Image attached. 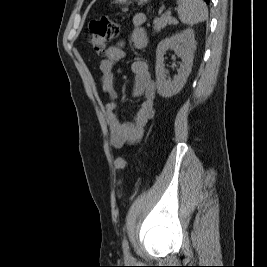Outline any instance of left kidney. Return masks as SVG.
Returning <instances> with one entry per match:
<instances>
[{
  "label": "left kidney",
  "mask_w": 267,
  "mask_h": 267,
  "mask_svg": "<svg viewBox=\"0 0 267 267\" xmlns=\"http://www.w3.org/2000/svg\"><path fill=\"white\" fill-rule=\"evenodd\" d=\"M195 48L193 29H186L159 42L156 49L155 72L157 92L160 96L170 98L183 88L192 69ZM169 49L174 50L182 60V64L177 70L178 74L174 76L173 80L166 79L167 71L164 64V54Z\"/></svg>",
  "instance_id": "left-kidney-1"
}]
</instances>
